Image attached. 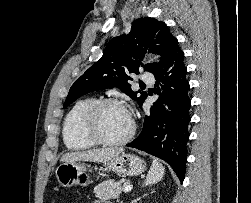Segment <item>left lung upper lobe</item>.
Here are the masks:
<instances>
[{
  "mask_svg": "<svg viewBox=\"0 0 251 203\" xmlns=\"http://www.w3.org/2000/svg\"><path fill=\"white\" fill-rule=\"evenodd\" d=\"M175 39L164 22L153 18L135 20L130 33L110 40L103 56L72 85L64 108L86 93L112 87L121 88L142 105L147 93L131 90L128 81L132 78L128 73L138 74L140 67L153 73L163 63ZM146 52L160 55V62L141 65Z\"/></svg>",
  "mask_w": 251,
  "mask_h": 203,
  "instance_id": "obj_1",
  "label": "left lung upper lobe"
}]
</instances>
